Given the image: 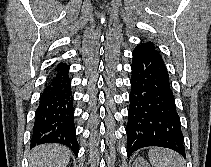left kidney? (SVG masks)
<instances>
[{
	"mask_svg": "<svg viewBox=\"0 0 211 167\" xmlns=\"http://www.w3.org/2000/svg\"><path fill=\"white\" fill-rule=\"evenodd\" d=\"M134 167H150L143 158L138 157L134 162Z\"/></svg>",
	"mask_w": 211,
	"mask_h": 167,
	"instance_id": "obj_1",
	"label": "left kidney"
}]
</instances>
